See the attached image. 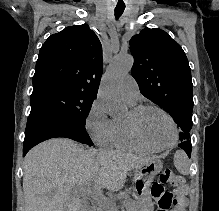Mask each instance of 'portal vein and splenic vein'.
Returning a JSON list of instances; mask_svg holds the SVG:
<instances>
[{
    "instance_id": "obj_1",
    "label": "portal vein and splenic vein",
    "mask_w": 219,
    "mask_h": 211,
    "mask_svg": "<svg viewBox=\"0 0 219 211\" xmlns=\"http://www.w3.org/2000/svg\"><path fill=\"white\" fill-rule=\"evenodd\" d=\"M79 189V191H78ZM90 189H85V187H75V193H80V195H82L83 199H88V197H91L90 193H89ZM107 203H114L113 199H109V201H107Z\"/></svg>"
}]
</instances>
